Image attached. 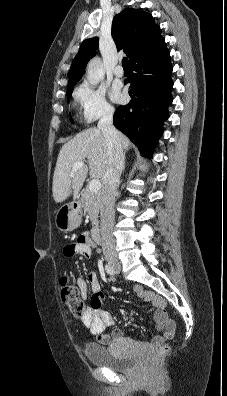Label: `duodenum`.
Here are the masks:
<instances>
[{"label":"duodenum","mask_w":227,"mask_h":396,"mask_svg":"<svg viewBox=\"0 0 227 396\" xmlns=\"http://www.w3.org/2000/svg\"><path fill=\"white\" fill-rule=\"evenodd\" d=\"M80 205H81L80 201H76L74 203L75 208H79ZM91 234L95 243L100 244L102 242V232L99 226L93 227Z\"/></svg>","instance_id":"410a0bca"}]
</instances>
